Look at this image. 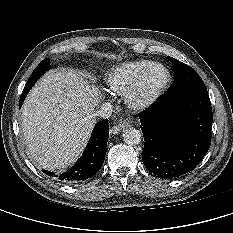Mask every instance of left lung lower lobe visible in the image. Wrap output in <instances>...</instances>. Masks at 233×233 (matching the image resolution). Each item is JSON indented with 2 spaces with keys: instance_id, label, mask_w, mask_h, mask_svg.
Wrapping results in <instances>:
<instances>
[{
  "instance_id": "0a47b994",
  "label": "left lung lower lobe",
  "mask_w": 233,
  "mask_h": 233,
  "mask_svg": "<svg viewBox=\"0 0 233 233\" xmlns=\"http://www.w3.org/2000/svg\"><path fill=\"white\" fill-rule=\"evenodd\" d=\"M139 118L143 164L161 178L192 171L210 147L213 114L207 90L166 92Z\"/></svg>"
}]
</instances>
